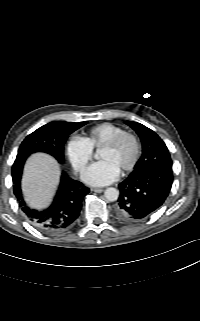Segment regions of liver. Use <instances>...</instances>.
Listing matches in <instances>:
<instances>
[{"mask_svg": "<svg viewBox=\"0 0 200 321\" xmlns=\"http://www.w3.org/2000/svg\"><path fill=\"white\" fill-rule=\"evenodd\" d=\"M59 175L58 162L50 155L36 153L29 158L24 169L22 189L31 207L41 209L48 204Z\"/></svg>", "mask_w": 200, "mask_h": 321, "instance_id": "1", "label": "liver"}]
</instances>
